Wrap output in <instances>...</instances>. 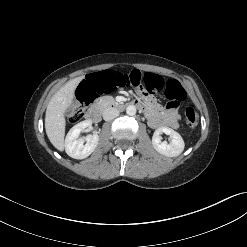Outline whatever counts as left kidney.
Masks as SVG:
<instances>
[{"mask_svg": "<svg viewBox=\"0 0 247 247\" xmlns=\"http://www.w3.org/2000/svg\"><path fill=\"white\" fill-rule=\"evenodd\" d=\"M162 133L171 137V142L169 144L161 141L160 135ZM152 145L157 152L168 157H176L180 155L185 147L181 135L168 127H160L155 130L152 137Z\"/></svg>", "mask_w": 247, "mask_h": 247, "instance_id": "obj_1", "label": "left kidney"}]
</instances>
